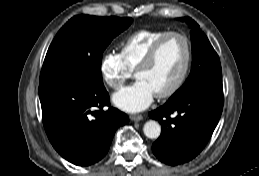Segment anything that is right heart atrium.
<instances>
[{"label": "right heart atrium", "instance_id": "d8ad5b80", "mask_svg": "<svg viewBox=\"0 0 259 176\" xmlns=\"http://www.w3.org/2000/svg\"><path fill=\"white\" fill-rule=\"evenodd\" d=\"M99 71L103 81L115 90L122 88L132 75V71L126 66L120 53L113 51L103 55L99 63Z\"/></svg>", "mask_w": 259, "mask_h": 176}]
</instances>
